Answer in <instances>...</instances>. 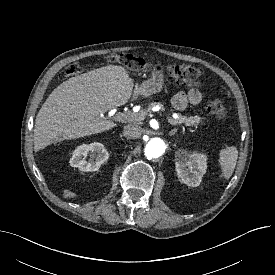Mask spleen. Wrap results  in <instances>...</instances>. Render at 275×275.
I'll return each mask as SVG.
<instances>
[{"label":"spleen","mask_w":275,"mask_h":275,"mask_svg":"<svg viewBox=\"0 0 275 275\" xmlns=\"http://www.w3.org/2000/svg\"><path fill=\"white\" fill-rule=\"evenodd\" d=\"M238 158V150L231 146L222 149L219 154V164L221 166L224 178L228 179L233 174Z\"/></svg>","instance_id":"spleen-1"}]
</instances>
